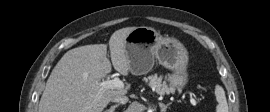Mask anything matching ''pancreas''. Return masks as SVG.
<instances>
[{
  "mask_svg": "<svg viewBox=\"0 0 270 112\" xmlns=\"http://www.w3.org/2000/svg\"><path fill=\"white\" fill-rule=\"evenodd\" d=\"M144 81L148 82V85L151 88H154L159 95L169 93L172 90V88L169 87L166 82H162V76L158 77L157 74L144 78Z\"/></svg>",
  "mask_w": 270,
  "mask_h": 112,
  "instance_id": "pancreas-1",
  "label": "pancreas"
}]
</instances>
